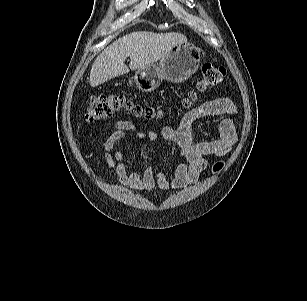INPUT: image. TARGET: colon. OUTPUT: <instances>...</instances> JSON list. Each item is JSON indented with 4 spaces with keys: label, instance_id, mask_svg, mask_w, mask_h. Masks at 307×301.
Returning a JSON list of instances; mask_svg holds the SVG:
<instances>
[{
    "label": "colon",
    "instance_id": "obj_1",
    "mask_svg": "<svg viewBox=\"0 0 307 301\" xmlns=\"http://www.w3.org/2000/svg\"><path fill=\"white\" fill-rule=\"evenodd\" d=\"M202 78L197 84V92H204L210 88L219 85L225 75L226 69L223 66L204 63L201 67ZM196 97V92L189 93L183 101L184 106H189L192 99ZM122 109L130 110L135 116L151 119L156 115V110L151 106H141L134 104L121 94L107 93L93 97L87 106L86 119L88 121L104 120L115 112ZM222 167V163H217L214 170L217 171Z\"/></svg>",
    "mask_w": 307,
    "mask_h": 301
}]
</instances>
